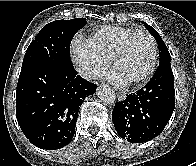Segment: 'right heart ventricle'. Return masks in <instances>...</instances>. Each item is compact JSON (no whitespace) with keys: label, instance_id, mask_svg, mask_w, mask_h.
I'll use <instances>...</instances> for the list:
<instances>
[{"label":"right heart ventricle","instance_id":"obj_1","mask_svg":"<svg viewBox=\"0 0 196 166\" xmlns=\"http://www.w3.org/2000/svg\"><path fill=\"white\" fill-rule=\"evenodd\" d=\"M133 30L120 26H106L94 32L88 41L100 55L111 61L123 39Z\"/></svg>","mask_w":196,"mask_h":166}]
</instances>
